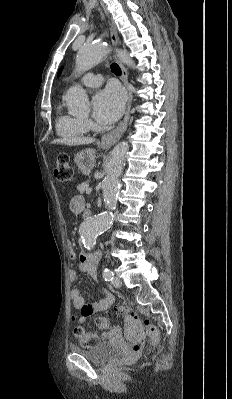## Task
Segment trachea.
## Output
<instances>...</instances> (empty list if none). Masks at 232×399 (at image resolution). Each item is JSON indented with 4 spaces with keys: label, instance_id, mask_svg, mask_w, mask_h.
I'll return each mask as SVG.
<instances>
[{
    "label": "trachea",
    "instance_id": "obj_1",
    "mask_svg": "<svg viewBox=\"0 0 232 399\" xmlns=\"http://www.w3.org/2000/svg\"><path fill=\"white\" fill-rule=\"evenodd\" d=\"M111 71L115 74V75H121V69L119 67V65H117L116 63H113L111 65Z\"/></svg>",
    "mask_w": 232,
    "mask_h": 399
}]
</instances>
